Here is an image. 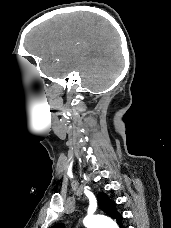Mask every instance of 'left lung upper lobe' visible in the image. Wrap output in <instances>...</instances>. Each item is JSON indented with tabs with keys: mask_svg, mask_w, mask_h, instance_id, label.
Listing matches in <instances>:
<instances>
[{
	"mask_svg": "<svg viewBox=\"0 0 171 228\" xmlns=\"http://www.w3.org/2000/svg\"><path fill=\"white\" fill-rule=\"evenodd\" d=\"M97 200L99 208L109 217L115 219L118 224L122 221L121 214L116 210L115 203L109 199V197L103 193L100 192L97 194ZM52 228H64L62 224H58L53 226Z\"/></svg>",
	"mask_w": 171,
	"mask_h": 228,
	"instance_id": "obj_1",
	"label": "left lung upper lobe"
}]
</instances>
